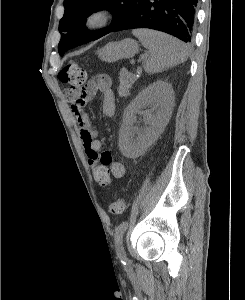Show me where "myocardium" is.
<instances>
[{
    "mask_svg": "<svg viewBox=\"0 0 245 300\" xmlns=\"http://www.w3.org/2000/svg\"><path fill=\"white\" fill-rule=\"evenodd\" d=\"M111 20V11L104 7L94 8L85 15V25L91 29L105 27Z\"/></svg>",
    "mask_w": 245,
    "mask_h": 300,
    "instance_id": "myocardium-1",
    "label": "myocardium"
}]
</instances>
